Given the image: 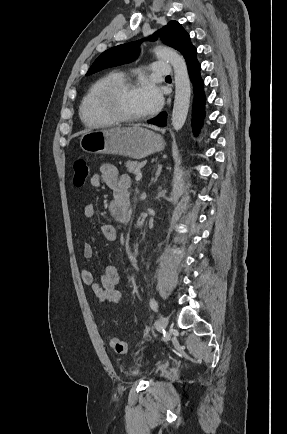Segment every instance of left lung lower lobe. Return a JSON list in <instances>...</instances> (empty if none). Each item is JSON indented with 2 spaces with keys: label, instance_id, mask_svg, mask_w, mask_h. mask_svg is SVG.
<instances>
[{
  "label": "left lung lower lobe",
  "instance_id": "1",
  "mask_svg": "<svg viewBox=\"0 0 287 434\" xmlns=\"http://www.w3.org/2000/svg\"><path fill=\"white\" fill-rule=\"evenodd\" d=\"M188 72L194 87V102L192 110V127L193 132L197 133L203 124L200 117L204 116L205 94L203 89V80L200 76V64L197 61L196 54L186 60ZM167 113L162 112L155 118L148 121L150 124L164 127L166 126Z\"/></svg>",
  "mask_w": 287,
  "mask_h": 434
}]
</instances>
